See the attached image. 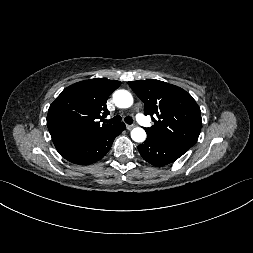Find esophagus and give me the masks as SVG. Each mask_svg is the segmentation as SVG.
Returning a JSON list of instances; mask_svg holds the SVG:
<instances>
[{
	"label": "esophagus",
	"instance_id": "1",
	"mask_svg": "<svg viewBox=\"0 0 253 253\" xmlns=\"http://www.w3.org/2000/svg\"><path fill=\"white\" fill-rule=\"evenodd\" d=\"M135 126L134 125H126V129L127 130H131V129H133Z\"/></svg>",
	"mask_w": 253,
	"mask_h": 253
}]
</instances>
